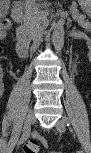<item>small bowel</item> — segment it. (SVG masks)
<instances>
[{
    "label": "small bowel",
    "mask_w": 91,
    "mask_h": 153,
    "mask_svg": "<svg viewBox=\"0 0 91 153\" xmlns=\"http://www.w3.org/2000/svg\"><path fill=\"white\" fill-rule=\"evenodd\" d=\"M7 32H6V29L4 28H1L0 30V37L4 38L6 36ZM35 139H42L40 136H36Z\"/></svg>",
    "instance_id": "1"
}]
</instances>
